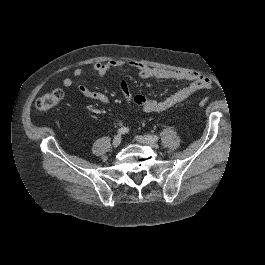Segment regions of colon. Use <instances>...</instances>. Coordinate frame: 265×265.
<instances>
[{
	"label": "colon",
	"mask_w": 265,
	"mask_h": 265,
	"mask_svg": "<svg viewBox=\"0 0 265 265\" xmlns=\"http://www.w3.org/2000/svg\"><path fill=\"white\" fill-rule=\"evenodd\" d=\"M64 98V93L60 89H55L51 92H48L44 95H42L38 100L36 101V107L40 111H48L51 109H54L60 105ZM208 101V98H203L199 101V106L203 107Z\"/></svg>",
	"instance_id": "colon-1"
}]
</instances>
